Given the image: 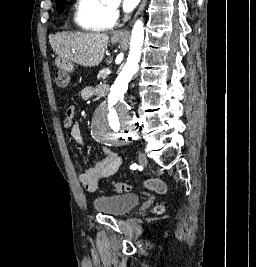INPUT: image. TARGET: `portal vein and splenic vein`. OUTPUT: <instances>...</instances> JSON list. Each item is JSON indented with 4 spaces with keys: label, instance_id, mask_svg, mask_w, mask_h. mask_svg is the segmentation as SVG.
Here are the masks:
<instances>
[{
    "label": "portal vein and splenic vein",
    "instance_id": "18ae733b",
    "mask_svg": "<svg viewBox=\"0 0 256 267\" xmlns=\"http://www.w3.org/2000/svg\"><path fill=\"white\" fill-rule=\"evenodd\" d=\"M105 73H106V74H109V73H110L109 68H106Z\"/></svg>",
    "mask_w": 256,
    "mask_h": 267
}]
</instances>
